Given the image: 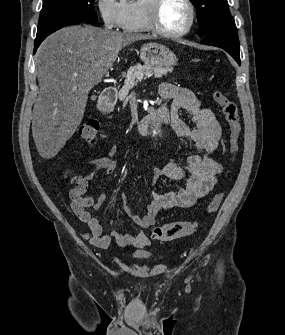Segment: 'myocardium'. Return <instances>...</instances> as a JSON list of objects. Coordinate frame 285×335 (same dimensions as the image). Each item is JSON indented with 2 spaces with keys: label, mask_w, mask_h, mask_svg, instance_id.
<instances>
[{
  "label": "myocardium",
  "mask_w": 285,
  "mask_h": 335,
  "mask_svg": "<svg viewBox=\"0 0 285 335\" xmlns=\"http://www.w3.org/2000/svg\"><path fill=\"white\" fill-rule=\"evenodd\" d=\"M149 2H150L149 21L151 29L155 33L166 38H177L183 36L184 34L189 32V30L192 28L194 22V9L190 1H179L188 8L189 20L183 28L176 31L168 30L162 23L161 19L162 8L164 4L168 1H149Z\"/></svg>",
  "instance_id": "f54148a6"
}]
</instances>
